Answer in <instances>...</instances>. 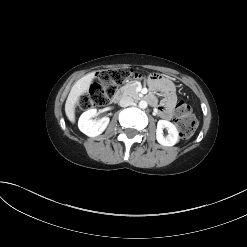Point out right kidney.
I'll return each mask as SVG.
<instances>
[{
    "mask_svg": "<svg viewBox=\"0 0 247 247\" xmlns=\"http://www.w3.org/2000/svg\"><path fill=\"white\" fill-rule=\"evenodd\" d=\"M97 114V109H89L82 113L78 120L79 130L89 137L100 135L109 124V117H103L97 121L91 120V118L97 116Z\"/></svg>",
    "mask_w": 247,
    "mask_h": 247,
    "instance_id": "obj_1",
    "label": "right kidney"
}]
</instances>
